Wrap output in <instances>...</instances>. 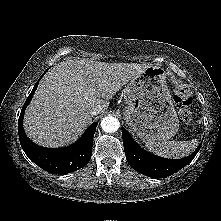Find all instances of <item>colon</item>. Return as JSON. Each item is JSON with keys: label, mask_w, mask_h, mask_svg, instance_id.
<instances>
[{"label": "colon", "mask_w": 221, "mask_h": 221, "mask_svg": "<svg viewBox=\"0 0 221 221\" xmlns=\"http://www.w3.org/2000/svg\"><path fill=\"white\" fill-rule=\"evenodd\" d=\"M192 101L193 93L189 88L180 87L175 90L174 102L179 110L181 120L185 123H189L192 120V113L189 109Z\"/></svg>", "instance_id": "5ec220e1"}]
</instances>
